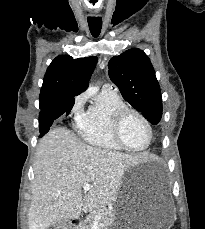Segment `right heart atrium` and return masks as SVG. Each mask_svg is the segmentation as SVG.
<instances>
[{
  "instance_id": "d8ad5b80",
  "label": "right heart atrium",
  "mask_w": 205,
  "mask_h": 229,
  "mask_svg": "<svg viewBox=\"0 0 205 229\" xmlns=\"http://www.w3.org/2000/svg\"><path fill=\"white\" fill-rule=\"evenodd\" d=\"M87 100V93L83 92L75 97L72 107L71 114L74 116L76 122H78L84 114V105Z\"/></svg>"
}]
</instances>
